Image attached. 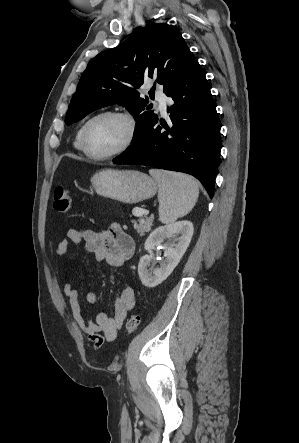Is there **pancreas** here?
I'll return each instance as SVG.
<instances>
[{"label": "pancreas", "mask_w": 299, "mask_h": 443, "mask_svg": "<svg viewBox=\"0 0 299 443\" xmlns=\"http://www.w3.org/2000/svg\"><path fill=\"white\" fill-rule=\"evenodd\" d=\"M141 211H139V212H141ZM132 223L134 224V228L136 229V231L141 236H143V235H145L146 232H149L151 230V227L153 225V218H148L144 214H140L138 223L136 220H132Z\"/></svg>", "instance_id": "cf45deb5"}]
</instances>
